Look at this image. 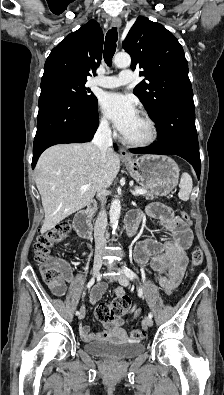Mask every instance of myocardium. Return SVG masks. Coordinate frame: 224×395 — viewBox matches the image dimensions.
<instances>
[{"label": "myocardium", "mask_w": 224, "mask_h": 395, "mask_svg": "<svg viewBox=\"0 0 224 395\" xmlns=\"http://www.w3.org/2000/svg\"><path fill=\"white\" fill-rule=\"evenodd\" d=\"M138 115L147 125V135L141 139H131L122 134L121 140L123 141V143L132 147H146L156 141L158 136V130L154 120L147 113L140 112Z\"/></svg>", "instance_id": "myocardium-1"}]
</instances>
